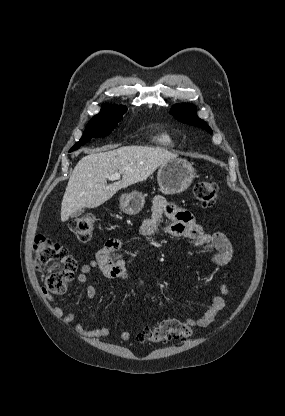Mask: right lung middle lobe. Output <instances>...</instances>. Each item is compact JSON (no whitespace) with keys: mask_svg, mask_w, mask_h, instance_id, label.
I'll return each instance as SVG.
<instances>
[{"mask_svg":"<svg viewBox=\"0 0 285 416\" xmlns=\"http://www.w3.org/2000/svg\"><path fill=\"white\" fill-rule=\"evenodd\" d=\"M127 109L119 111L101 110V112L94 116L87 124L81 139L70 149L72 152L78 149L81 145L89 142L92 138H100L110 135V133L117 127Z\"/></svg>","mask_w":285,"mask_h":416,"instance_id":"dd1d6c3e","label":"right lung middle lobe"}]
</instances>
